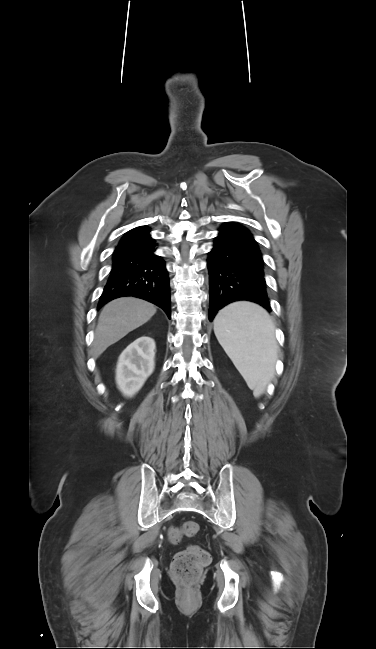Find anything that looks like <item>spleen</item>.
Returning a JSON list of instances; mask_svg holds the SVG:
<instances>
[{"label":"spleen","instance_id":"obj_1","mask_svg":"<svg viewBox=\"0 0 376 649\" xmlns=\"http://www.w3.org/2000/svg\"><path fill=\"white\" fill-rule=\"evenodd\" d=\"M214 332L254 396H261L274 375L277 358L270 315L255 303L234 302L218 312Z\"/></svg>","mask_w":376,"mask_h":649}]
</instances>
